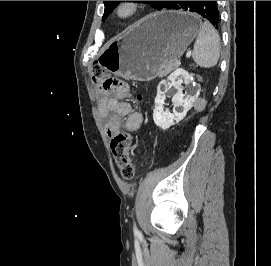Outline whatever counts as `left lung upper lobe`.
<instances>
[{
  "label": "left lung upper lobe",
  "instance_id": "5c2ea615",
  "mask_svg": "<svg viewBox=\"0 0 271 266\" xmlns=\"http://www.w3.org/2000/svg\"><path fill=\"white\" fill-rule=\"evenodd\" d=\"M120 2L121 1H104L105 11L102 20H105ZM142 2L148 3L158 10H162L166 8L171 1H142Z\"/></svg>",
  "mask_w": 271,
  "mask_h": 266
}]
</instances>
